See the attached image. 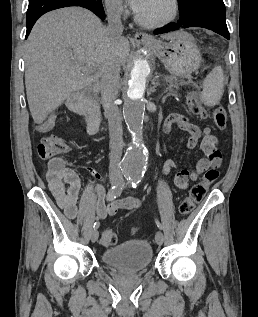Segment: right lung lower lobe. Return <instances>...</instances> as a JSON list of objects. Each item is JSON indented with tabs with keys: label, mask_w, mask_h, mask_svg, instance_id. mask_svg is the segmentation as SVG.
Returning a JSON list of instances; mask_svg holds the SVG:
<instances>
[{
	"label": "right lung lower lobe",
	"mask_w": 258,
	"mask_h": 317,
	"mask_svg": "<svg viewBox=\"0 0 258 317\" xmlns=\"http://www.w3.org/2000/svg\"><path fill=\"white\" fill-rule=\"evenodd\" d=\"M68 6H80L87 8L102 20L105 19L101 0H29L26 16L27 32L25 38L28 37L33 25L43 14L54 9Z\"/></svg>",
	"instance_id": "right-lung-lower-lobe-1"
}]
</instances>
